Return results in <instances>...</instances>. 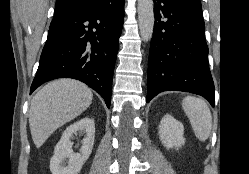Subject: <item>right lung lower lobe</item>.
I'll use <instances>...</instances> for the list:
<instances>
[{
    "mask_svg": "<svg viewBox=\"0 0 249 174\" xmlns=\"http://www.w3.org/2000/svg\"><path fill=\"white\" fill-rule=\"evenodd\" d=\"M123 20L124 0H117L50 24L30 94L44 82L73 78L98 92L109 108Z\"/></svg>",
    "mask_w": 249,
    "mask_h": 174,
    "instance_id": "obj_1",
    "label": "right lung lower lobe"
}]
</instances>
